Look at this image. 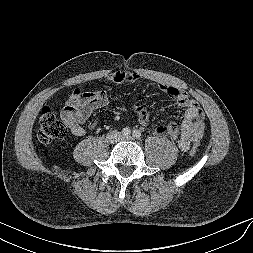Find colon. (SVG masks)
<instances>
[{"mask_svg": "<svg viewBox=\"0 0 253 253\" xmlns=\"http://www.w3.org/2000/svg\"><path fill=\"white\" fill-rule=\"evenodd\" d=\"M68 126L64 120L58 117L57 111L50 108H43L39 117L37 131L38 140L43 144H49L57 139L64 137ZM199 145L194 144L190 148V154L196 155L199 152Z\"/></svg>", "mask_w": 253, "mask_h": 253, "instance_id": "colon-1", "label": "colon"}]
</instances>
